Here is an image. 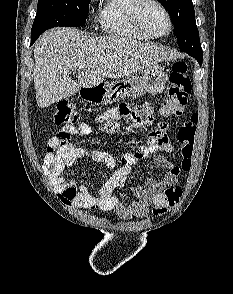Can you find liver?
Returning <instances> with one entry per match:
<instances>
[{
    "mask_svg": "<svg viewBox=\"0 0 233 294\" xmlns=\"http://www.w3.org/2000/svg\"><path fill=\"white\" fill-rule=\"evenodd\" d=\"M173 55L163 47L119 36L90 37L74 28L46 31L34 47L36 102L44 108L106 77L130 76ZM79 69L78 82L70 76Z\"/></svg>",
    "mask_w": 233,
    "mask_h": 294,
    "instance_id": "6515ba94",
    "label": "liver"
}]
</instances>
